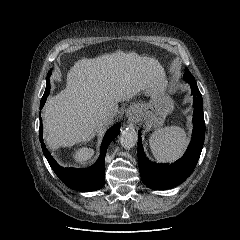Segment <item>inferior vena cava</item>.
<instances>
[{"label":"inferior vena cava","mask_w":240,"mask_h":240,"mask_svg":"<svg viewBox=\"0 0 240 240\" xmlns=\"http://www.w3.org/2000/svg\"><path fill=\"white\" fill-rule=\"evenodd\" d=\"M112 119V115L105 111V110H101L99 113H98V117H97V123L100 125V126H103L105 124H108Z\"/></svg>","instance_id":"obj_1"}]
</instances>
